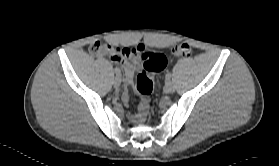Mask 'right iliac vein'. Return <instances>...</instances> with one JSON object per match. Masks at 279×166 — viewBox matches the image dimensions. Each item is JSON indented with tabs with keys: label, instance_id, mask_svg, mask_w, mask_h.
Segmentation results:
<instances>
[{
	"label": "right iliac vein",
	"instance_id": "63e3f726",
	"mask_svg": "<svg viewBox=\"0 0 279 166\" xmlns=\"http://www.w3.org/2000/svg\"><path fill=\"white\" fill-rule=\"evenodd\" d=\"M120 84H121V78H120V76H116L113 81V85L115 88H119Z\"/></svg>",
	"mask_w": 279,
	"mask_h": 166
}]
</instances>
